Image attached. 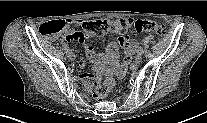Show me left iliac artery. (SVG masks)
I'll return each instance as SVG.
<instances>
[{
  "label": "left iliac artery",
  "mask_w": 207,
  "mask_h": 123,
  "mask_svg": "<svg viewBox=\"0 0 207 123\" xmlns=\"http://www.w3.org/2000/svg\"><path fill=\"white\" fill-rule=\"evenodd\" d=\"M138 53H141V54H143L144 53V50H143V48H138Z\"/></svg>",
  "instance_id": "left-iliac-artery-1"
}]
</instances>
